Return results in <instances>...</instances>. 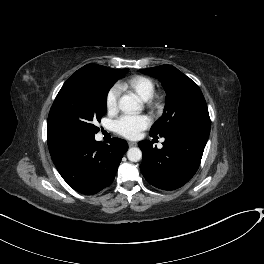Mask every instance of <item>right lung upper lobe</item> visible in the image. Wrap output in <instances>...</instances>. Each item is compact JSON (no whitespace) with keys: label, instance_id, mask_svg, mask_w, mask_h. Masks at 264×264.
I'll return each instance as SVG.
<instances>
[{"label":"right lung upper lobe","instance_id":"1","mask_svg":"<svg viewBox=\"0 0 264 264\" xmlns=\"http://www.w3.org/2000/svg\"><path fill=\"white\" fill-rule=\"evenodd\" d=\"M94 65H97V64H88V65H85L84 67L82 68H88L90 66H94ZM48 138V137H47ZM62 142H57V141H53L51 139H48V147H49V150H52L53 148L59 146Z\"/></svg>","mask_w":264,"mask_h":264}]
</instances>
